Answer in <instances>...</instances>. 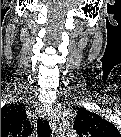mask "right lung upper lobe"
Returning <instances> with one entry per match:
<instances>
[{
  "instance_id": "obj_1",
  "label": "right lung upper lobe",
  "mask_w": 121,
  "mask_h": 137,
  "mask_svg": "<svg viewBox=\"0 0 121 137\" xmlns=\"http://www.w3.org/2000/svg\"><path fill=\"white\" fill-rule=\"evenodd\" d=\"M31 130L24 108L18 105L1 108V135H28Z\"/></svg>"
}]
</instances>
